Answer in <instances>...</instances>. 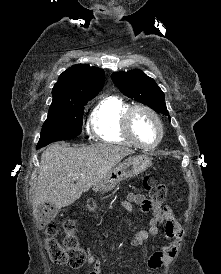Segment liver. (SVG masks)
I'll return each instance as SVG.
<instances>
[{
  "mask_svg": "<svg viewBox=\"0 0 221 274\" xmlns=\"http://www.w3.org/2000/svg\"><path fill=\"white\" fill-rule=\"evenodd\" d=\"M132 153L129 148L108 144L81 148L50 145L41 155L33 209L43 203L56 208L71 205ZM76 173L80 176L73 179Z\"/></svg>",
  "mask_w": 221,
  "mask_h": 274,
  "instance_id": "obj_1",
  "label": "liver"
}]
</instances>
